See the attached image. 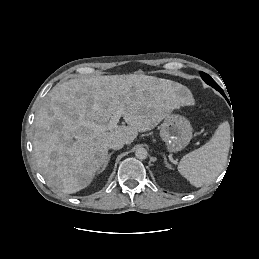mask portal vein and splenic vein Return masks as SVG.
Wrapping results in <instances>:
<instances>
[{
    "instance_id": "18ae733b",
    "label": "portal vein and splenic vein",
    "mask_w": 259,
    "mask_h": 259,
    "mask_svg": "<svg viewBox=\"0 0 259 259\" xmlns=\"http://www.w3.org/2000/svg\"><path fill=\"white\" fill-rule=\"evenodd\" d=\"M124 114V109L119 107L114 114L112 115L111 119L109 120L107 125H95L93 126L94 130L97 132H103L106 130H113L117 127L121 116Z\"/></svg>"
}]
</instances>
